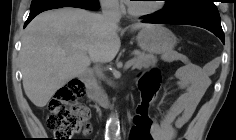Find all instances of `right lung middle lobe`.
Returning a JSON list of instances; mask_svg holds the SVG:
<instances>
[{
    "instance_id": "1",
    "label": "right lung middle lobe",
    "mask_w": 236,
    "mask_h": 140,
    "mask_svg": "<svg viewBox=\"0 0 236 140\" xmlns=\"http://www.w3.org/2000/svg\"><path fill=\"white\" fill-rule=\"evenodd\" d=\"M61 4H75L91 10L100 8L98 0H32L30 11Z\"/></svg>"
}]
</instances>
